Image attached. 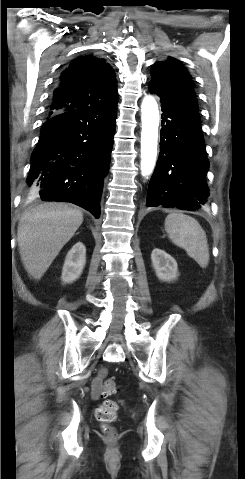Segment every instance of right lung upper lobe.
Returning a JSON list of instances; mask_svg holds the SVG:
<instances>
[{"mask_svg": "<svg viewBox=\"0 0 245 479\" xmlns=\"http://www.w3.org/2000/svg\"><path fill=\"white\" fill-rule=\"evenodd\" d=\"M117 96L116 76L105 59L82 56L61 73L47 115L49 118L66 111L114 107Z\"/></svg>", "mask_w": 245, "mask_h": 479, "instance_id": "obj_1", "label": "right lung upper lobe"}]
</instances>
